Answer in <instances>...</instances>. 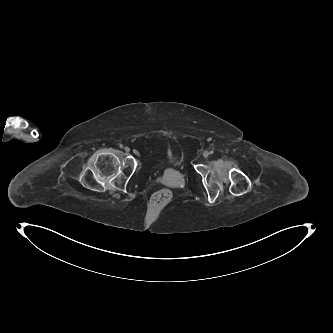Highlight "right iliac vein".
Here are the masks:
<instances>
[{"label":"right iliac vein","mask_w":333,"mask_h":333,"mask_svg":"<svg viewBox=\"0 0 333 333\" xmlns=\"http://www.w3.org/2000/svg\"><path fill=\"white\" fill-rule=\"evenodd\" d=\"M125 151H126V152H129V151H130V148H129V147H125ZM133 153H134L135 156H139V155H140L139 152H138L137 150H134Z\"/></svg>","instance_id":"obj_1"}]
</instances>
